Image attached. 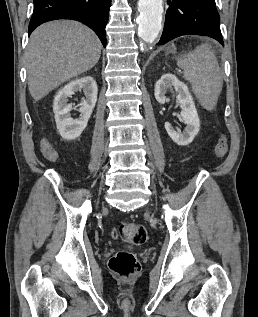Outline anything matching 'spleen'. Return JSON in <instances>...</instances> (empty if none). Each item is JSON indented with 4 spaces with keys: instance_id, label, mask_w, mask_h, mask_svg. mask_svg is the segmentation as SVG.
Listing matches in <instances>:
<instances>
[{
    "instance_id": "spleen-1",
    "label": "spleen",
    "mask_w": 258,
    "mask_h": 317,
    "mask_svg": "<svg viewBox=\"0 0 258 317\" xmlns=\"http://www.w3.org/2000/svg\"><path fill=\"white\" fill-rule=\"evenodd\" d=\"M178 66L184 70V78L191 82L192 90L206 110L217 104L222 90V78L218 60L210 44L204 42L188 54L180 56Z\"/></svg>"
}]
</instances>
